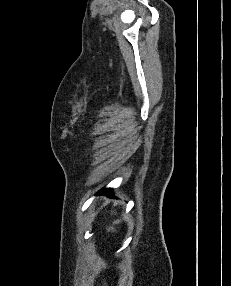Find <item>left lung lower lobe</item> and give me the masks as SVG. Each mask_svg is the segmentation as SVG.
<instances>
[{
    "instance_id": "left-lung-lower-lobe-1",
    "label": "left lung lower lobe",
    "mask_w": 231,
    "mask_h": 286,
    "mask_svg": "<svg viewBox=\"0 0 231 286\" xmlns=\"http://www.w3.org/2000/svg\"><path fill=\"white\" fill-rule=\"evenodd\" d=\"M112 189H102L99 194H107L109 196H112L111 194Z\"/></svg>"
}]
</instances>
